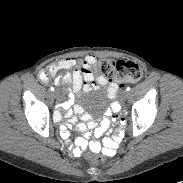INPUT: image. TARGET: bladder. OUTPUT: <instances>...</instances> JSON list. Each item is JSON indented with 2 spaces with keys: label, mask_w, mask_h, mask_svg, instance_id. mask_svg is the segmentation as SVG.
I'll return each mask as SVG.
<instances>
[{
  "label": "bladder",
  "mask_w": 183,
  "mask_h": 183,
  "mask_svg": "<svg viewBox=\"0 0 183 183\" xmlns=\"http://www.w3.org/2000/svg\"><path fill=\"white\" fill-rule=\"evenodd\" d=\"M109 99L103 93H94L87 99V107L91 113L97 114L104 111L108 105Z\"/></svg>",
  "instance_id": "bladder-1"
}]
</instances>
